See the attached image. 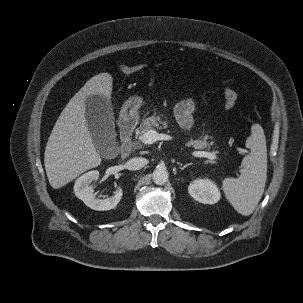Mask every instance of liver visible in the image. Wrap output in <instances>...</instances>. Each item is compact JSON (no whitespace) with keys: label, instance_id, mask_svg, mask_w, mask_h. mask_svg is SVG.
<instances>
[{"label":"liver","instance_id":"1","mask_svg":"<svg viewBox=\"0 0 303 303\" xmlns=\"http://www.w3.org/2000/svg\"><path fill=\"white\" fill-rule=\"evenodd\" d=\"M113 78L100 73L89 79L63 109L45 148L44 165L52 188L59 189L101 164L85 117L86 99L98 95L111 101Z\"/></svg>","mask_w":303,"mask_h":303}]
</instances>
